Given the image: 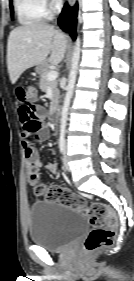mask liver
<instances>
[{
	"instance_id": "obj_1",
	"label": "liver",
	"mask_w": 134,
	"mask_h": 281,
	"mask_svg": "<svg viewBox=\"0 0 134 281\" xmlns=\"http://www.w3.org/2000/svg\"><path fill=\"white\" fill-rule=\"evenodd\" d=\"M67 37L54 26L44 22H31L13 29L7 44V68L14 84L21 74L48 62L57 65L64 58Z\"/></svg>"
}]
</instances>
